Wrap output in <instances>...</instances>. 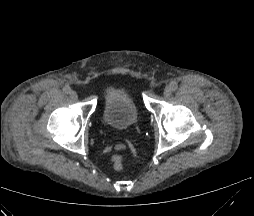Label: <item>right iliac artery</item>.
Here are the masks:
<instances>
[{
  "mask_svg": "<svg viewBox=\"0 0 254 216\" xmlns=\"http://www.w3.org/2000/svg\"><path fill=\"white\" fill-rule=\"evenodd\" d=\"M63 91L66 93V94H69L71 92V88L69 86H66L64 87Z\"/></svg>",
  "mask_w": 254,
  "mask_h": 216,
  "instance_id": "1",
  "label": "right iliac artery"
}]
</instances>
